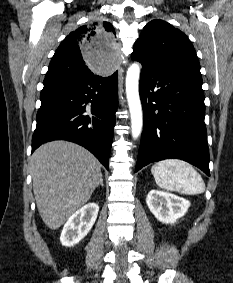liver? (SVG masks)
Returning <instances> with one entry per match:
<instances>
[{"mask_svg": "<svg viewBox=\"0 0 233 283\" xmlns=\"http://www.w3.org/2000/svg\"><path fill=\"white\" fill-rule=\"evenodd\" d=\"M30 165L38 212L52 230L83 206L100 182L99 161L72 142L41 145L31 156Z\"/></svg>", "mask_w": 233, "mask_h": 283, "instance_id": "6515ba94", "label": "liver"}]
</instances>
